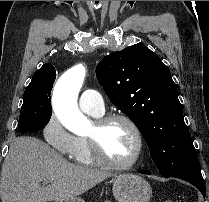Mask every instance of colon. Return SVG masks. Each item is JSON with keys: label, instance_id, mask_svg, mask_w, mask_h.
<instances>
[{"label": "colon", "instance_id": "5ec220e1", "mask_svg": "<svg viewBox=\"0 0 209 202\" xmlns=\"http://www.w3.org/2000/svg\"><path fill=\"white\" fill-rule=\"evenodd\" d=\"M164 202H185V201L182 199H176V200H166Z\"/></svg>", "mask_w": 209, "mask_h": 202}]
</instances>
